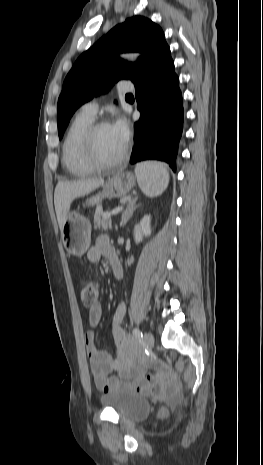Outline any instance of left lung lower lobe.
Instances as JSON below:
<instances>
[{
  "instance_id": "0a47b994",
  "label": "left lung lower lobe",
  "mask_w": 263,
  "mask_h": 465,
  "mask_svg": "<svg viewBox=\"0 0 263 465\" xmlns=\"http://www.w3.org/2000/svg\"><path fill=\"white\" fill-rule=\"evenodd\" d=\"M132 82L141 115L134 125L135 147L131 163L158 159L167 162L175 171L184 110L179 78L167 44L153 55Z\"/></svg>"
}]
</instances>
